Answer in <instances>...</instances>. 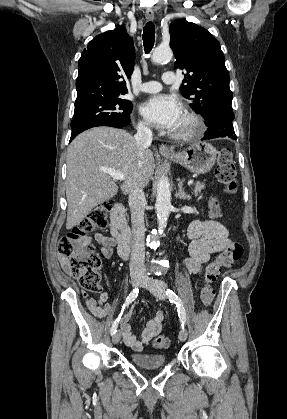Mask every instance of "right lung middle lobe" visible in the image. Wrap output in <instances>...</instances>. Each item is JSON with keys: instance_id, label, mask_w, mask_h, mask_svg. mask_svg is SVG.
<instances>
[{"instance_id": "dd1d6c3e", "label": "right lung middle lobe", "mask_w": 287, "mask_h": 419, "mask_svg": "<svg viewBox=\"0 0 287 419\" xmlns=\"http://www.w3.org/2000/svg\"><path fill=\"white\" fill-rule=\"evenodd\" d=\"M132 103L121 97L102 99L76 107L71 122L72 134L97 123L128 125Z\"/></svg>"}]
</instances>
